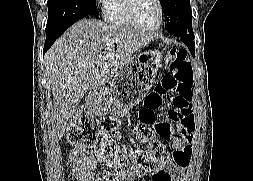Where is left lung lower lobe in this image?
<instances>
[{"mask_svg":"<svg viewBox=\"0 0 253 181\" xmlns=\"http://www.w3.org/2000/svg\"><path fill=\"white\" fill-rule=\"evenodd\" d=\"M178 36V35H177ZM189 48L191 54L194 56L195 53V43L193 42V39L183 37V36H178Z\"/></svg>","mask_w":253,"mask_h":181,"instance_id":"0a47b994","label":"left lung lower lobe"}]
</instances>
